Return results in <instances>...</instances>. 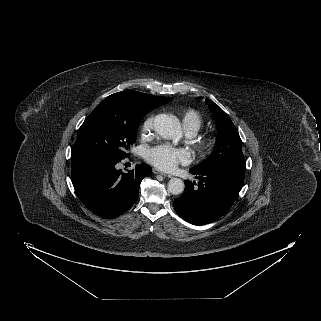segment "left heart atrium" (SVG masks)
Listing matches in <instances>:
<instances>
[{"mask_svg":"<svg viewBox=\"0 0 321 321\" xmlns=\"http://www.w3.org/2000/svg\"><path fill=\"white\" fill-rule=\"evenodd\" d=\"M146 159L154 166L169 171L178 164H188L191 161V155L186 149L163 144L149 149Z\"/></svg>","mask_w":321,"mask_h":321,"instance_id":"1","label":"left heart atrium"}]
</instances>
